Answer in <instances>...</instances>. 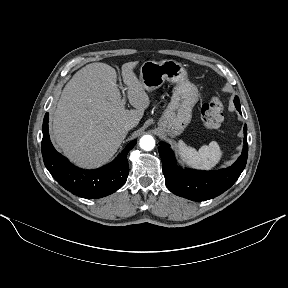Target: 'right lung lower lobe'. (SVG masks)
<instances>
[{
  "label": "right lung lower lobe",
  "mask_w": 288,
  "mask_h": 288,
  "mask_svg": "<svg viewBox=\"0 0 288 288\" xmlns=\"http://www.w3.org/2000/svg\"><path fill=\"white\" fill-rule=\"evenodd\" d=\"M48 113L43 120L42 156L45 166L54 179L72 194L83 198H101L118 190L127 180L128 152L135 146L130 142L110 164L94 170H83L72 165L58 153L48 133Z\"/></svg>",
  "instance_id": "obj_1"
}]
</instances>
